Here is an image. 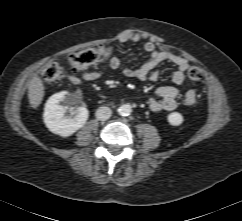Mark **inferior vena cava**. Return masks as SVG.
Segmentation results:
<instances>
[{
  "label": "inferior vena cava",
  "instance_id": "602c4592",
  "mask_svg": "<svg viewBox=\"0 0 242 221\" xmlns=\"http://www.w3.org/2000/svg\"><path fill=\"white\" fill-rule=\"evenodd\" d=\"M112 111L109 107L102 106L96 110V118L101 121H105L111 117Z\"/></svg>",
  "mask_w": 242,
  "mask_h": 221
}]
</instances>
